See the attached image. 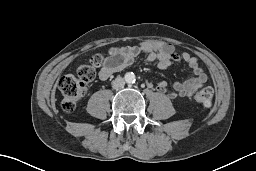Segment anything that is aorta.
<instances>
[{"label":"aorta","mask_w":256,"mask_h":171,"mask_svg":"<svg viewBox=\"0 0 256 171\" xmlns=\"http://www.w3.org/2000/svg\"><path fill=\"white\" fill-rule=\"evenodd\" d=\"M135 80H136V77H135V74L134 73H126L125 74V81L127 83H135Z\"/></svg>","instance_id":"obj_1"}]
</instances>
